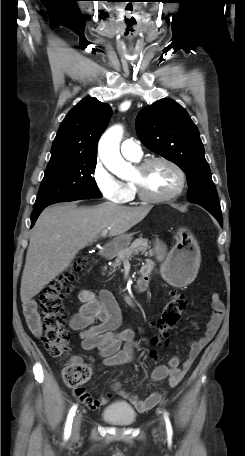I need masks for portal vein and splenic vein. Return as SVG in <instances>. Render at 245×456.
<instances>
[{"label":"portal vein and splenic vein","mask_w":245,"mask_h":456,"mask_svg":"<svg viewBox=\"0 0 245 456\" xmlns=\"http://www.w3.org/2000/svg\"><path fill=\"white\" fill-rule=\"evenodd\" d=\"M107 233H108V229H104L101 233V236L105 237L107 235Z\"/></svg>","instance_id":"1"}]
</instances>
